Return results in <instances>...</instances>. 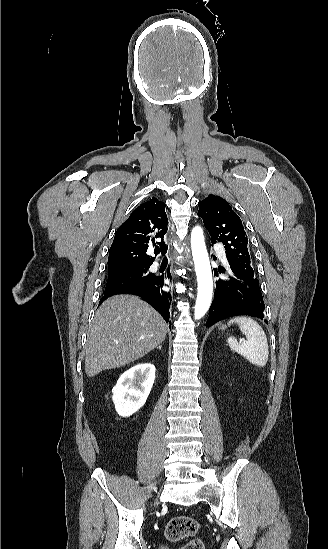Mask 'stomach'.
Returning a JSON list of instances; mask_svg holds the SVG:
<instances>
[{"label": "stomach", "instance_id": "obj_1", "mask_svg": "<svg viewBox=\"0 0 328 549\" xmlns=\"http://www.w3.org/2000/svg\"><path fill=\"white\" fill-rule=\"evenodd\" d=\"M219 329H221V331H224V329H226L225 325H221V327H219Z\"/></svg>", "mask_w": 328, "mask_h": 549}]
</instances>
